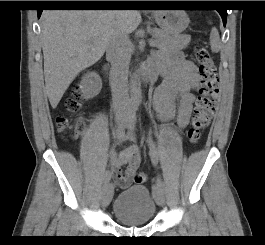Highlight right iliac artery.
I'll list each match as a JSON object with an SVG mask.
<instances>
[{
    "label": "right iliac artery",
    "instance_id": "obj_1",
    "mask_svg": "<svg viewBox=\"0 0 265 245\" xmlns=\"http://www.w3.org/2000/svg\"><path fill=\"white\" fill-rule=\"evenodd\" d=\"M138 107L136 104H131L130 105V109L126 118V121H133L135 120V116H136V111H137ZM124 125H119L116 126L113 131H112V136L114 139H119L121 140L124 137ZM110 178L108 176V174L106 173L104 178H103V183L106 185L109 182Z\"/></svg>",
    "mask_w": 265,
    "mask_h": 245
}]
</instances>
